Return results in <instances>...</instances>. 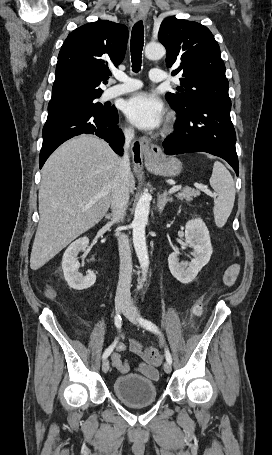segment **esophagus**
Wrapping results in <instances>:
<instances>
[{
    "instance_id": "1",
    "label": "esophagus",
    "mask_w": 272,
    "mask_h": 455,
    "mask_svg": "<svg viewBox=\"0 0 272 455\" xmlns=\"http://www.w3.org/2000/svg\"><path fill=\"white\" fill-rule=\"evenodd\" d=\"M133 18L134 20H145V10L141 6H135L133 9ZM133 151V162L138 168H142L144 164L153 162L162 154L161 148L151 143L147 137H141L135 143Z\"/></svg>"
}]
</instances>
